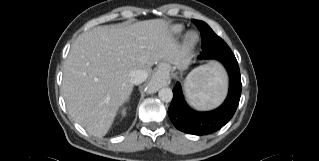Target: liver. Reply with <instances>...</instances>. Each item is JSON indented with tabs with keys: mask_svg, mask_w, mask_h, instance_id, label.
Returning <instances> with one entry per match:
<instances>
[{
	"mask_svg": "<svg viewBox=\"0 0 319 161\" xmlns=\"http://www.w3.org/2000/svg\"><path fill=\"white\" fill-rule=\"evenodd\" d=\"M179 46L169 23L151 19L95 27L74 41L64 63L62 90L70 116L88 133L103 137L133 90L129 73L172 61Z\"/></svg>",
	"mask_w": 319,
	"mask_h": 161,
	"instance_id": "6515ba94",
	"label": "liver"
}]
</instances>
